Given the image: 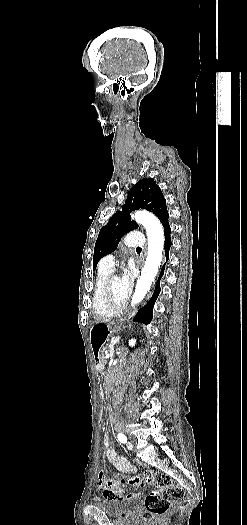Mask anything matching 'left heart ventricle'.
I'll return each instance as SVG.
<instances>
[{"label": "left heart ventricle", "mask_w": 247, "mask_h": 525, "mask_svg": "<svg viewBox=\"0 0 247 525\" xmlns=\"http://www.w3.org/2000/svg\"><path fill=\"white\" fill-rule=\"evenodd\" d=\"M133 265H135V267H137V268H148V269H151V267H152V264H133V262L130 259H127L125 261V266H133ZM120 280L121 279H118V278L113 279V281L111 283V286H110V292H111V295L115 296L118 300H124L125 297H123L119 293Z\"/></svg>", "instance_id": "b2bd125f"}]
</instances>
